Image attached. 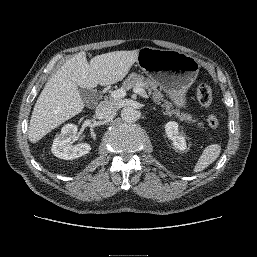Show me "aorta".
<instances>
[{
  "label": "aorta",
  "instance_id": "obj_1",
  "mask_svg": "<svg viewBox=\"0 0 257 257\" xmlns=\"http://www.w3.org/2000/svg\"><path fill=\"white\" fill-rule=\"evenodd\" d=\"M139 115L138 111L134 109L133 107H125L121 111V118L123 121L132 123L137 121Z\"/></svg>",
  "mask_w": 257,
  "mask_h": 257
}]
</instances>
